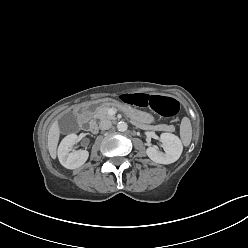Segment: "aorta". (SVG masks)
Returning <instances> with one entry per match:
<instances>
[{"label":"aorta","instance_id":"obj_1","mask_svg":"<svg viewBox=\"0 0 248 248\" xmlns=\"http://www.w3.org/2000/svg\"><path fill=\"white\" fill-rule=\"evenodd\" d=\"M117 128H118L119 131L124 132V131L127 130L128 125H127L126 122L121 121V122H119V123L117 124Z\"/></svg>","mask_w":248,"mask_h":248}]
</instances>
